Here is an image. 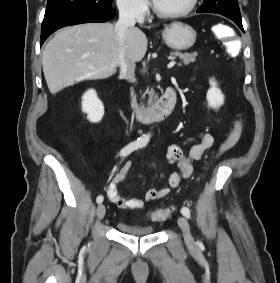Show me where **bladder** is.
I'll return each mask as SVG.
<instances>
[{
    "instance_id": "obj_1",
    "label": "bladder",
    "mask_w": 280,
    "mask_h": 283,
    "mask_svg": "<svg viewBox=\"0 0 280 283\" xmlns=\"http://www.w3.org/2000/svg\"><path fill=\"white\" fill-rule=\"evenodd\" d=\"M117 229L127 236H149L154 234V227L150 225H137L119 221L116 224Z\"/></svg>"
}]
</instances>
